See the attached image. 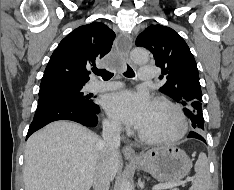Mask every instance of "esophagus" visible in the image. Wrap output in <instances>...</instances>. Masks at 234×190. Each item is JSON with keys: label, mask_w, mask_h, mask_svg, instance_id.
Segmentation results:
<instances>
[{"label": "esophagus", "mask_w": 234, "mask_h": 190, "mask_svg": "<svg viewBox=\"0 0 234 190\" xmlns=\"http://www.w3.org/2000/svg\"><path fill=\"white\" fill-rule=\"evenodd\" d=\"M118 46L120 49L121 55L125 58L128 59L129 52L132 47V38L129 34H121L118 38ZM123 154L126 158L128 159H137V155L135 153V150L129 146L125 145L122 149Z\"/></svg>", "instance_id": "34e87169"}]
</instances>
